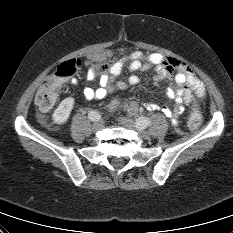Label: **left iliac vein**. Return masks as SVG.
<instances>
[{
  "mask_svg": "<svg viewBox=\"0 0 233 233\" xmlns=\"http://www.w3.org/2000/svg\"><path fill=\"white\" fill-rule=\"evenodd\" d=\"M120 123L128 129L136 130L141 137L147 139L149 138V133L145 131L141 126H138L132 119L127 117L120 118Z\"/></svg>",
  "mask_w": 233,
  "mask_h": 233,
  "instance_id": "obj_1",
  "label": "left iliac vein"
}]
</instances>
